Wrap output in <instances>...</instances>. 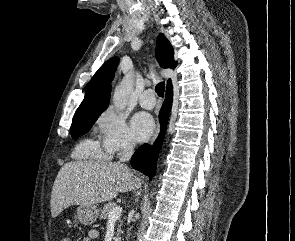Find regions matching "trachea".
Segmentation results:
<instances>
[{
  "instance_id": "3493384b",
  "label": "trachea",
  "mask_w": 295,
  "mask_h": 241,
  "mask_svg": "<svg viewBox=\"0 0 295 241\" xmlns=\"http://www.w3.org/2000/svg\"><path fill=\"white\" fill-rule=\"evenodd\" d=\"M164 89H165V83L160 82L156 85L155 91L158 94V96L163 97L164 96Z\"/></svg>"
}]
</instances>
